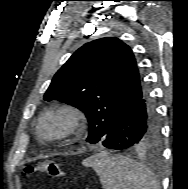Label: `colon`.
Returning a JSON list of instances; mask_svg holds the SVG:
<instances>
[{"label":"colon","mask_w":188,"mask_h":189,"mask_svg":"<svg viewBox=\"0 0 188 189\" xmlns=\"http://www.w3.org/2000/svg\"><path fill=\"white\" fill-rule=\"evenodd\" d=\"M36 173L46 174L54 178H61L64 175L58 164L50 160H43L36 164L27 165L24 169V174L26 175Z\"/></svg>","instance_id":"5ec220e1"}]
</instances>
